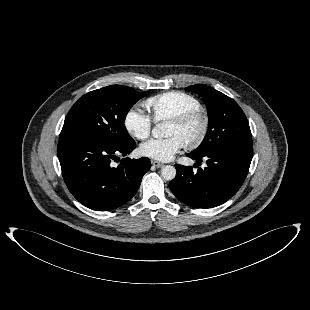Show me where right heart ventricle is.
<instances>
[{"mask_svg": "<svg viewBox=\"0 0 310 310\" xmlns=\"http://www.w3.org/2000/svg\"><path fill=\"white\" fill-rule=\"evenodd\" d=\"M156 122L170 120L186 111L201 108L200 101L182 91H167L149 97L145 102Z\"/></svg>", "mask_w": 310, "mask_h": 310, "instance_id": "e07e8e85", "label": "right heart ventricle"}]
</instances>
